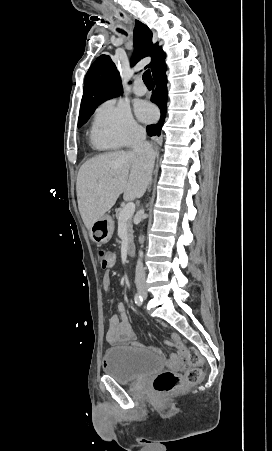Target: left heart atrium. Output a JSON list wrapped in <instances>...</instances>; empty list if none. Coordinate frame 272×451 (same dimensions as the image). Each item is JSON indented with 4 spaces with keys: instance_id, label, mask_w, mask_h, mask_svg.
Returning <instances> with one entry per match:
<instances>
[{
    "instance_id": "39dd6f15",
    "label": "left heart atrium",
    "mask_w": 272,
    "mask_h": 451,
    "mask_svg": "<svg viewBox=\"0 0 272 451\" xmlns=\"http://www.w3.org/2000/svg\"><path fill=\"white\" fill-rule=\"evenodd\" d=\"M140 115L143 120L149 121L154 117L155 111L151 106L145 104L140 111Z\"/></svg>"
}]
</instances>
